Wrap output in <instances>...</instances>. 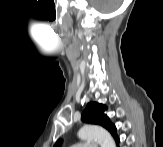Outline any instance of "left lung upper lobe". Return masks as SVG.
Instances as JSON below:
<instances>
[{"mask_svg": "<svg viewBox=\"0 0 163 147\" xmlns=\"http://www.w3.org/2000/svg\"><path fill=\"white\" fill-rule=\"evenodd\" d=\"M106 106L97 102L88 103L86 109L82 113V121L100 125L107 129L113 136L116 135V127L112 124L107 115L104 114ZM62 141L59 140L55 147H59Z\"/></svg>", "mask_w": 163, "mask_h": 147, "instance_id": "1", "label": "left lung upper lobe"}]
</instances>
